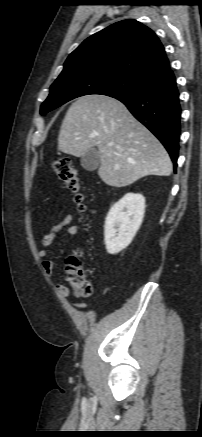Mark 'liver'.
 Returning <instances> with one entry per match:
<instances>
[{
  "mask_svg": "<svg viewBox=\"0 0 202 437\" xmlns=\"http://www.w3.org/2000/svg\"><path fill=\"white\" fill-rule=\"evenodd\" d=\"M97 147L98 175L113 187H125L148 175L169 176L170 157L159 140L120 101L105 95L79 97L68 109L58 148L82 157Z\"/></svg>",
  "mask_w": 202,
  "mask_h": 437,
  "instance_id": "6515ba94",
  "label": "liver"
}]
</instances>
